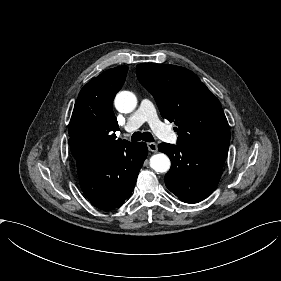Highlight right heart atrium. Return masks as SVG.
<instances>
[{
    "instance_id": "right-heart-atrium-1",
    "label": "right heart atrium",
    "mask_w": 281,
    "mask_h": 281,
    "mask_svg": "<svg viewBox=\"0 0 281 281\" xmlns=\"http://www.w3.org/2000/svg\"><path fill=\"white\" fill-rule=\"evenodd\" d=\"M129 103H130V98L126 92L121 91L116 95V97H115L116 107L119 105V106L123 107L124 109H128Z\"/></svg>"
}]
</instances>
